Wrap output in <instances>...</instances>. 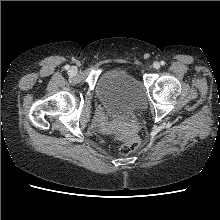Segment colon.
Returning a JSON list of instances; mask_svg holds the SVG:
<instances>
[{"label": "colon", "instance_id": "1", "mask_svg": "<svg viewBox=\"0 0 220 220\" xmlns=\"http://www.w3.org/2000/svg\"><path fill=\"white\" fill-rule=\"evenodd\" d=\"M115 136L122 142L120 151L122 154H130L136 150L138 146V139L129 133H126L120 129H116Z\"/></svg>", "mask_w": 220, "mask_h": 220}]
</instances>
